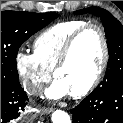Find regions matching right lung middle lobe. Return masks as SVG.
I'll return each mask as SVG.
<instances>
[{
  "label": "right lung middle lobe",
  "instance_id": "right-lung-middle-lobe-1",
  "mask_svg": "<svg viewBox=\"0 0 123 123\" xmlns=\"http://www.w3.org/2000/svg\"><path fill=\"white\" fill-rule=\"evenodd\" d=\"M58 17L57 13L1 12V84L18 85L16 57L19 47Z\"/></svg>",
  "mask_w": 123,
  "mask_h": 123
}]
</instances>
